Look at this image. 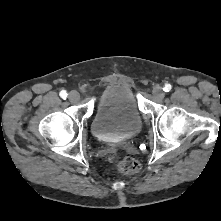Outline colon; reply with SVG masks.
I'll list each match as a JSON object with an SVG mask.
<instances>
[{
    "instance_id": "1",
    "label": "colon",
    "mask_w": 221,
    "mask_h": 221,
    "mask_svg": "<svg viewBox=\"0 0 221 221\" xmlns=\"http://www.w3.org/2000/svg\"><path fill=\"white\" fill-rule=\"evenodd\" d=\"M109 161L115 165L119 172L124 174H136L140 170L139 163L131 157L111 155Z\"/></svg>"
}]
</instances>
